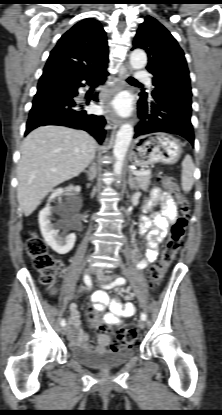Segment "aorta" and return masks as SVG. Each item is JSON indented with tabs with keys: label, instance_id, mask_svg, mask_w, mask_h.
Instances as JSON below:
<instances>
[{
	"label": "aorta",
	"instance_id": "1",
	"mask_svg": "<svg viewBox=\"0 0 222 415\" xmlns=\"http://www.w3.org/2000/svg\"><path fill=\"white\" fill-rule=\"evenodd\" d=\"M130 64L133 69H142L147 64L146 53L141 49H136L132 51L130 55ZM133 137V127L131 124L126 123L121 126L116 135L115 145L113 149V154L116 159L114 164V172L117 175H121L122 167L126 152L130 145V142ZM120 183V181H117Z\"/></svg>",
	"mask_w": 222,
	"mask_h": 415
}]
</instances>
